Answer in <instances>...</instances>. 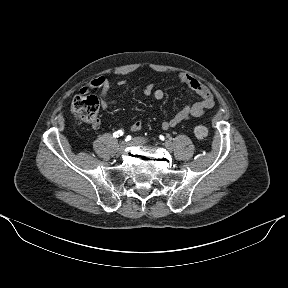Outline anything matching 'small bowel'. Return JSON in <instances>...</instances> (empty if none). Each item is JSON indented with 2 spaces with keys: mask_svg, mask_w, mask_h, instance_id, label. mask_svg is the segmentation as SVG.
I'll return each mask as SVG.
<instances>
[{
  "mask_svg": "<svg viewBox=\"0 0 288 288\" xmlns=\"http://www.w3.org/2000/svg\"><path fill=\"white\" fill-rule=\"evenodd\" d=\"M178 81L181 84H185L190 87L193 91H195L199 96L200 100L192 105L185 106L177 113H175L172 118L162 122L161 126L164 130L173 128L178 124L185 122L191 118H197L202 116L206 110L212 108L215 104L214 96L209 90V88L198 81L197 79L193 78L188 74H180L178 77ZM127 84L126 80H119V86H125ZM92 89H100L99 94V101L102 109L104 111H108L113 104H117L118 100L110 99L108 94L110 90V82L106 77H98L91 80L89 83L84 85L80 89L81 94H87ZM143 93L146 96L153 95L156 100H161L164 98V91L161 89H155L153 84H148ZM100 122L97 120L95 123L92 124L93 128H97ZM142 128V123L139 121H135L129 125V129L133 132L140 131Z\"/></svg>",
  "mask_w": 288,
  "mask_h": 288,
  "instance_id": "obj_1",
  "label": "small bowel"
}]
</instances>
